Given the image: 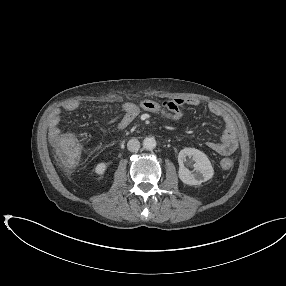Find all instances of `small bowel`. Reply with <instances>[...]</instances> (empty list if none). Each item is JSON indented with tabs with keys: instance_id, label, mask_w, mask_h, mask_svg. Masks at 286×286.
I'll list each match as a JSON object with an SVG mask.
<instances>
[{
	"instance_id": "1",
	"label": "small bowel",
	"mask_w": 286,
	"mask_h": 286,
	"mask_svg": "<svg viewBox=\"0 0 286 286\" xmlns=\"http://www.w3.org/2000/svg\"><path fill=\"white\" fill-rule=\"evenodd\" d=\"M197 106L199 101L194 98H175L159 103L153 100H142L138 105L127 102L119 110L109 117L105 122L107 124L117 123L119 131L125 130L139 116L141 111L160 114L171 120H181L184 118V106ZM80 108L78 101H71L64 105L65 112H74ZM208 110L214 116L220 118L224 124V133L220 142L207 141L206 147L220 155L229 156L238 148V137L236 127L232 116L220 105L210 103ZM61 109H55L49 119L50 137L60 133Z\"/></svg>"
}]
</instances>
